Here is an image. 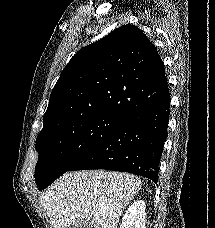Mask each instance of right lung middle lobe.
I'll return each instance as SVG.
<instances>
[{
  "instance_id": "1",
  "label": "right lung middle lobe",
  "mask_w": 215,
  "mask_h": 228,
  "mask_svg": "<svg viewBox=\"0 0 215 228\" xmlns=\"http://www.w3.org/2000/svg\"><path fill=\"white\" fill-rule=\"evenodd\" d=\"M123 120L117 115H97L40 132L36 139L39 157L34 174L39 190L67 172Z\"/></svg>"
}]
</instances>
